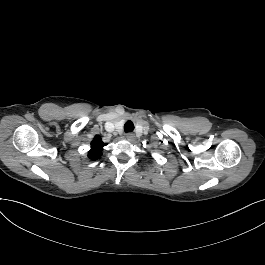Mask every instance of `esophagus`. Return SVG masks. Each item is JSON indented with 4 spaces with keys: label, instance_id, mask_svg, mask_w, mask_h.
I'll return each mask as SVG.
<instances>
[{
    "label": "esophagus",
    "instance_id": "1",
    "mask_svg": "<svg viewBox=\"0 0 265 265\" xmlns=\"http://www.w3.org/2000/svg\"><path fill=\"white\" fill-rule=\"evenodd\" d=\"M126 138H127L128 141H135L136 136H135L134 133L130 132V133L126 134Z\"/></svg>",
    "mask_w": 265,
    "mask_h": 265
}]
</instances>
